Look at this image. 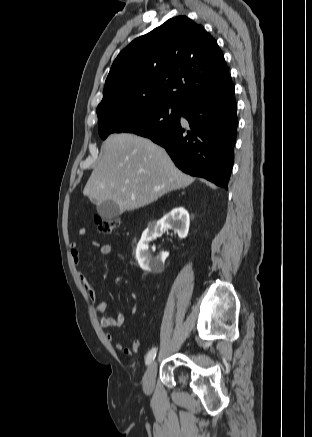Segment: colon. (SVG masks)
I'll return each mask as SVG.
<instances>
[{"label": "colon", "instance_id": "1", "mask_svg": "<svg viewBox=\"0 0 312 437\" xmlns=\"http://www.w3.org/2000/svg\"><path fill=\"white\" fill-rule=\"evenodd\" d=\"M118 218H107L100 215L95 216V224L101 233H110L119 226Z\"/></svg>", "mask_w": 312, "mask_h": 437}]
</instances>
